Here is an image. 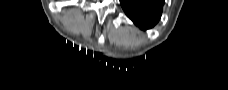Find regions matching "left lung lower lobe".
Returning <instances> with one entry per match:
<instances>
[{"label":"left lung lower lobe","instance_id":"1","mask_svg":"<svg viewBox=\"0 0 228 90\" xmlns=\"http://www.w3.org/2000/svg\"><path fill=\"white\" fill-rule=\"evenodd\" d=\"M126 15L140 28L154 26L160 19L164 0H120Z\"/></svg>","mask_w":228,"mask_h":90}]
</instances>
